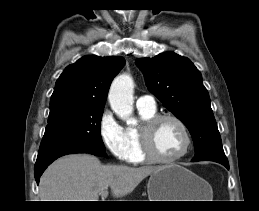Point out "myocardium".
Segmentation results:
<instances>
[{"instance_id":"1","label":"myocardium","mask_w":259,"mask_h":211,"mask_svg":"<svg viewBox=\"0 0 259 211\" xmlns=\"http://www.w3.org/2000/svg\"><path fill=\"white\" fill-rule=\"evenodd\" d=\"M164 120H171L175 122L181 129L184 137H185V145L184 148L180 153L171 157V158H164L158 156L152 144V134L155 127ZM139 138H140V145L141 150L146 158L147 161L155 162V163H164L170 164L177 162L178 160L182 159L190 150L192 145V137L187 125L184 121L174 114H156L148 119L143 120L141 126L139 127Z\"/></svg>"}]
</instances>
